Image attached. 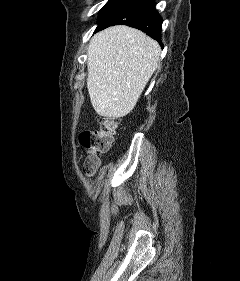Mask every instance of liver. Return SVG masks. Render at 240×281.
I'll list each match as a JSON object with an SVG mask.
<instances>
[{"label":"liver","instance_id":"1","mask_svg":"<svg viewBox=\"0 0 240 281\" xmlns=\"http://www.w3.org/2000/svg\"><path fill=\"white\" fill-rule=\"evenodd\" d=\"M161 48L145 33L124 25L109 27L88 46L87 89L100 116L129 114L158 67Z\"/></svg>","mask_w":240,"mask_h":281}]
</instances>
